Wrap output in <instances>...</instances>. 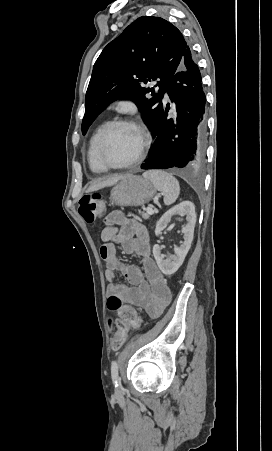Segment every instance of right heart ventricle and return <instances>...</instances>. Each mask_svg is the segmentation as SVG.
I'll use <instances>...</instances> for the list:
<instances>
[{"label": "right heart ventricle", "mask_w": 272, "mask_h": 451, "mask_svg": "<svg viewBox=\"0 0 272 451\" xmlns=\"http://www.w3.org/2000/svg\"><path fill=\"white\" fill-rule=\"evenodd\" d=\"M103 127H100L95 134L93 135L90 143V147L88 150V166L90 171L93 174H100V168L96 157V145L98 141V137L100 135V132L102 131Z\"/></svg>", "instance_id": "e07e8e85"}]
</instances>
